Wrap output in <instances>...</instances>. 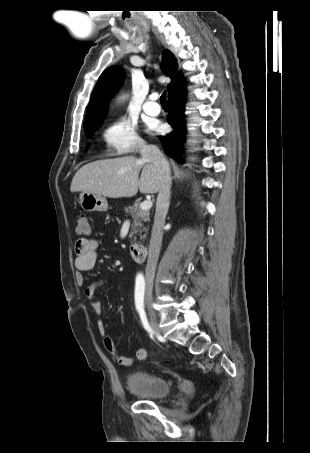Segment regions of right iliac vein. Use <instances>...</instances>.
<instances>
[{
  "label": "right iliac vein",
  "mask_w": 310,
  "mask_h": 453,
  "mask_svg": "<svg viewBox=\"0 0 310 453\" xmlns=\"http://www.w3.org/2000/svg\"><path fill=\"white\" fill-rule=\"evenodd\" d=\"M145 296H146V303L148 307L149 317H150V324L156 333L159 332L156 314L152 307V285L148 284L145 289Z\"/></svg>",
  "instance_id": "right-iliac-vein-1"
}]
</instances>
